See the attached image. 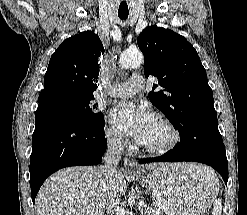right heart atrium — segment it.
<instances>
[{
    "mask_svg": "<svg viewBox=\"0 0 247 215\" xmlns=\"http://www.w3.org/2000/svg\"><path fill=\"white\" fill-rule=\"evenodd\" d=\"M105 136L108 145L113 149L122 150L126 145L124 137L114 128H107Z\"/></svg>",
    "mask_w": 247,
    "mask_h": 215,
    "instance_id": "right-heart-atrium-1",
    "label": "right heart atrium"
}]
</instances>
